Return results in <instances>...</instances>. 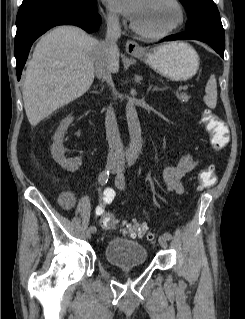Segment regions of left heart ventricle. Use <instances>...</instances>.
Returning a JSON list of instances; mask_svg holds the SVG:
<instances>
[{
  "mask_svg": "<svg viewBox=\"0 0 245 319\" xmlns=\"http://www.w3.org/2000/svg\"><path fill=\"white\" fill-rule=\"evenodd\" d=\"M177 16V10L169 0H144L133 21L140 28L155 32L172 26Z\"/></svg>",
  "mask_w": 245,
  "mask_h": 319,
  "instance_id": "left-heart-ventricle-1",
  "label": "left heart ventricle"
}]
</instances>
